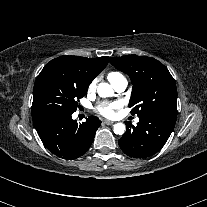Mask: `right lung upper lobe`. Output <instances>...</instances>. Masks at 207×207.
<instances>
[{
  "instance_id": "1",
  "label": "right lung upper lobe",
  "mask_w": 207,
  "mask_h": 207,
  "mask_svg": "<svg viewBox=\"0 0 207 207\" xmlns=\"http://www.w3.org/2000/svg\"><path fill=\"white\" fill-rule=\"evenodd\" d=\"M109 57L85 58L61 56L49 64L58 65L70 72L80 83L89 86L92 80L106 67Z\"/></svg>"
}]
</instances>
